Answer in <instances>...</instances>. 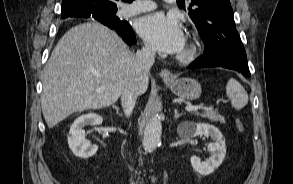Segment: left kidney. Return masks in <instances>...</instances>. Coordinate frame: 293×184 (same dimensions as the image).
<instances>
[{"mask_svg": "<svg viewBox=\"0 0 293 184\" xmlns=\"http://www.w3.org/2000/svg\"><path fill=\"white\" fill-rule=\"evenodd\" d=\"M204 135L211 137L214 143L208 145L211 157L205 162H201L196 156H192L190 161L193 169L200 175L206 176L213 173L223 162L226 155L225 140L222 133L213 125L205 123H192L188 132L189 137Z\"/></svg>", "mask_w": 293, "mask_h": 184, "instance_id": "5707ae66", "label": "left kidney"}]
</instances>
